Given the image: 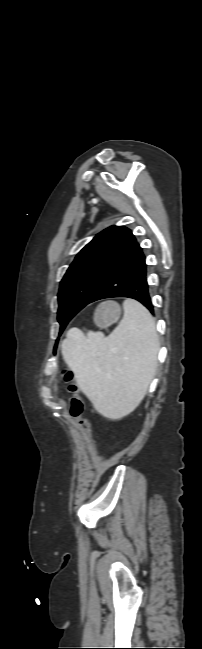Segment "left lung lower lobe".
<instances>
[{"mask_svg":"<svg viewBox=\"0 0 202 649\" xmlns=\"http://www.w3.org/2000/svg\"><path fill=\"white\" fill-rule=\"evenodd\" d=\"M146 274L145 255L136 241L123 260L97 290L91 302L104 298L128 297L141 302L154 314Z\"/></svg>","mask_w":202,"mask_h":649,"instance_id":"left-lung-lower-lobe-1","label":"left lung lower lobe"}]
</instances>
